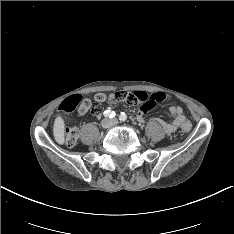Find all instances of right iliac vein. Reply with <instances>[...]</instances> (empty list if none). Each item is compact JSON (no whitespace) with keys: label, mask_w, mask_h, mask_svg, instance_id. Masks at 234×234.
I'll return each instance as SVG.
<instances>
[{"label":"right iliac vein","mask_w":234,"mask_h":234,"mask_svg":"<svg viewBox=\"0 0 234 234\" xmlns=\"http://www.w3.org/2000/svg\"><path fill=\"white\" fill-rule=\"evenodd\" d=\"M109 125H110V123H109L108 120H104V121L102 122V126H103L104 128H108Z\"/></svg>","instance_id":"obj_1"}]
</instances>
